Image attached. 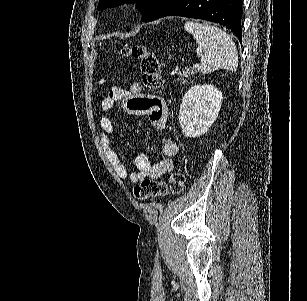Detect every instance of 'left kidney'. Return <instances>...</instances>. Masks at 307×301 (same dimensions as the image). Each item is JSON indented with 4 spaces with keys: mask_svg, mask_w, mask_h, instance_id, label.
Listing matches in <instances>:
<instances>
[{
    "mask_svg": "<svg viewBox=\"0 0 307 301\" xmlns=\"http://www.w3.org/2000/svg\"><path fill=\"white\" fill-rule=\"evenodd\" d=\"M222 102V92L213 84H194L185 92L179 112L184 136H201L216 120Z\"/></svg>",
    "mask_w": 307,
    "mask_h": 301,
    "instance_id": "5707ae66",
    "label": "left kidney"
}]
</instances>
